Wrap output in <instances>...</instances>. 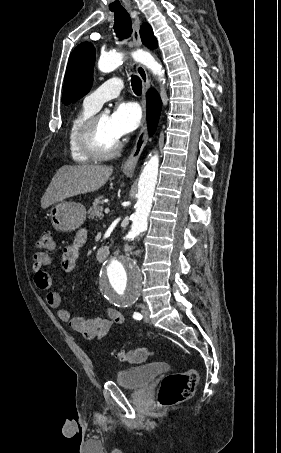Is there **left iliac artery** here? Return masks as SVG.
I'll return each mask as SVG.
<instances>
[{
  "label": "left iliac artery",
  "mask_w": 281,
  "mask_h": 453,
  "mask_svg": "<svg viewBox=\"0 0 281 453\" xmlns=\"http://www.w3.org/2000/svg\"><path fill=\"white\" fill-rule=\"evenodd\" d=\"M142 317H143V316H142L140 313H136V312H135L134 315H133V318H134V319H137V320H141Z\"/></svg>",
  "instance_id": "44dca946"
}]
</instances>
